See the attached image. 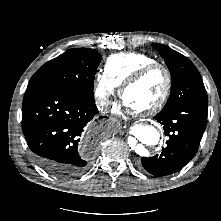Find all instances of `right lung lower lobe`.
I'll use <instances>...</instances> for the list:
<instances>
[{"label":"right lung lower lobe","instance_id":"1","mask_svg":"<svg viewBox=\"0 0 221 221\" xmlns=\"http://www.w3.org/2000/svg\"><path fill=\"white\" fill-rule=\"evenodd\" d=\"M102 118L94 101L51 86L33 84L24 95L22 130L28 146L37 163L57 178H73L87 169L98 136L86 150L81 135Z\"/></svg>","mask_w":221,"mask_h":221}]
</instances>
